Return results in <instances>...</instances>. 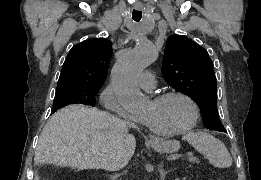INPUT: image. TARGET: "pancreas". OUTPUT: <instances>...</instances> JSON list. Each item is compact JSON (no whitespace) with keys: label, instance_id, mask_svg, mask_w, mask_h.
Returning <instances> with one entry per match:
<instances>
[{"label":"pancreas","instance_id":"obj_1","mask_svg":"<svg viewBox=\"0 0 261 180\" xmlns=\"http://www.w3.org/2000/svg\"><path fill=\"white\" fill-rule=\"evenodd\" d=\"M200 163V160L197 159V161H194V162H190V164H199Z\"/></svg>","mask_w":261,"mask_h":180}]
</instances>
